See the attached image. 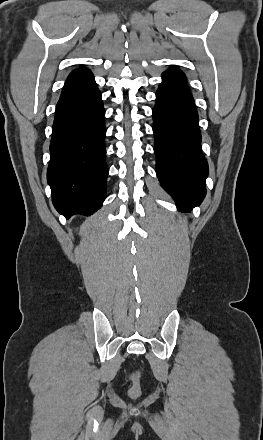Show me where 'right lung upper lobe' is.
Segmentation results:
<instances>
[{
    "instance_id": "cb5924a9",
    "label": "right lung upper lobe",
    "mask_w": 263,
    "mask_h": 440,
    "mask_svg": "<svg viewBox=\"0 0 263 440\" xmlns=\"http://www.w3.org/2000/svg\"><path fill=\"white\" fill-rule=\"evenodd\" d=\"M85 70H88V69L83 68V69L74 70L73 72L70 73L69 77H71V76H73V75H75V74H77L79 72L85 71Z\"/></svg>"
}]
</instances>
